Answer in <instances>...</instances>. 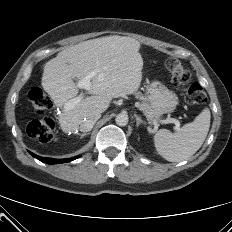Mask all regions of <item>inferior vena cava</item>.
<instances>
[{
  "mask_svg": "<svg viewBox=\"0 0 232 232\" xmlns=\"http://www.w3.org/2000/svg\"><path fill=\"white\" fill-rule=\"evenodd\" d=\"M101 114L100 113H94L86 117L82 124L80 125V131L82 132H88L93 128V125L96 123L98 119H100Z\"/></svg>",
  "mask_w": 232,
  "mask_h": 232,
  "instance_id": "inferior-vena-cava-1",
  "label": "inferior vena cava"
}]
</instances>
